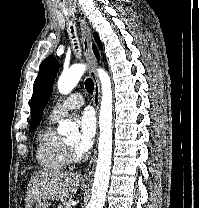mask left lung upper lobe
I'll use <instances>...</instances> for the list:
<instances>
[{"label": "left lung upper lobe", "mask_w": 199, "mask_h": 208, "mask_svg": "<svg viewBox=\"0 0 199 208\" xmlns=\"http://www.w3.org/2000/svg\"><path fill=\"white\" fill-rule=\"evenodd\" d=\"M94 38L98 46L102 49V44L97 33H94ZM59 70V63L50 56L46 58L39 67L38 76L34 82L33 95L31 98V124L30 131H34L41 121V115L52 94V87Z\"/></svg>", "instance_id": "obj_1"}]
</instances>
